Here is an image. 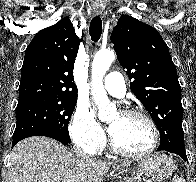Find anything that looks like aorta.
<instances>
[{
	"mask_svg": "<svg viewBox=\"0 0 196 182\" xmlns=\"http://www.w3.org/2000/svg\"><path fill=\"white\" fill-rule=\"evenodd\" d=\"M115 59L111 50H101L96 53L91 71V92L93 100L98 108V118L101 121H109L116 114V106L109 102L103 86V78Z\"/></svg>",
	"mask_w": 196,
	"mask_h": 182,
	"instance_id": "762f6f07",
	"label": "aorta"
}]
</instances>
